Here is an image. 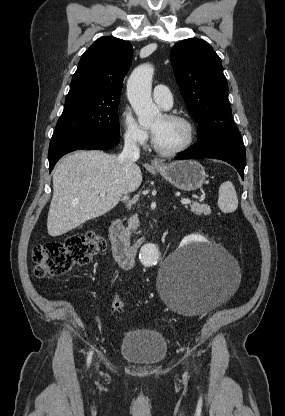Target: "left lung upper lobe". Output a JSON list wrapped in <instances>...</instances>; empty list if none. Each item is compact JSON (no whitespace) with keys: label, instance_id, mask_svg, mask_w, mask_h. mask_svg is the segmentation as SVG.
Returning a JSON list of instances; mask_svg holds the SVG:
<instances>
[{"label":"left lung upper lobe","instance_id":"obj_1","mask_svg":"<svg viewBox=\"0 0 285 416\" xmlns=\"http://www.w3.org/2000/svg\"><path fill=\"white\" fill-rule=\"evenodd\" d=\"M170 57L187 109L199 124L198 139L236 130L226 77L213 48L202 39H186L173 46Z\"/></svg>","mask_w":285,"mask_h":416}]
</instances>
